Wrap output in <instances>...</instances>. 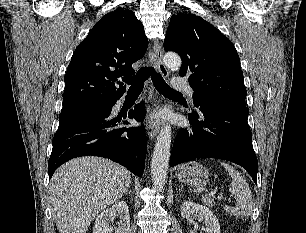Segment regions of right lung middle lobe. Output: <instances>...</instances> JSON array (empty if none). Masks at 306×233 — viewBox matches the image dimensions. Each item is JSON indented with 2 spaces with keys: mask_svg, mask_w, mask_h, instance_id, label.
<instances>
[{
  "mask_svg": "<svg viewBox=\"0 0 306 233\" xmlns=\"http://www.w3.org/2000/svg\"><path fill=\"white\" fill-rule=\"evenodd\" d=\"M113 103H101V102H80L71 105L63 106L59 115V121L68 119L70 117L93 111L98 109H104L111 107Z\"/></svg>",
  "mask_w": 306,
  "mask_h": 233,
  "instance_id": "dd1d6c3e",
  "label": "right lung middle lobe"
}]
</instances>
